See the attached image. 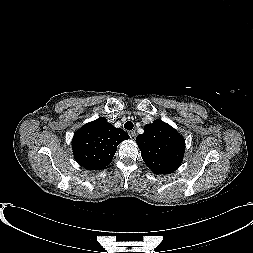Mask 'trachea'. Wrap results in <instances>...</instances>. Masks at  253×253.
Masks as SVG:
<instances>
[{
	"label": "trachea",
	"mask_w": 253,
	"mask_h": 253,
	"mask_svg": "<svg viewBox=\"0 0 253 253\" xmlns=\"http://www.w3.org/2000/svg\"><path fill=\"white\" fill-rule=\"evenodd\" d=\"M134 127L133 125V122L131 121H127L125 124H124V128L127 129V130H132Z\"/></svg>",
	"instance_id": "trachea-1"
}]
</instances>
